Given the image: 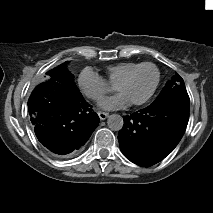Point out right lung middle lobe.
Instances as JSON below:
<instances>
[{"label":"right lung middle lobe","mask_w":213,"mask_h":213,"mask_svg":"<svg viewBox=\"0 0 213 213\" xmlns=\"http://www.w3.org/2000/svg\"><path fill=\"white\" fill-rule=\"evenodd\" d=\"M69 61L62 63L61 65L55 67L54 69L46 73L48 80H56L63 82L73 88H76L74 83V77L69 73L67 69V64ZM77 89V88H76Z\"/></svg>","instance_id":"obj_1"}]
</instances>
